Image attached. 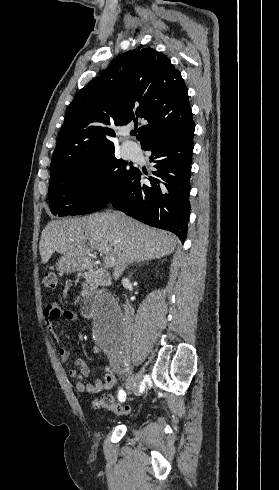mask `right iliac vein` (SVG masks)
I'll list each match as a JSON object with an SVG mask.
<instances>
[{
  "mask_svg": "<svg viewBox=\"0 0 279 490\" xmlns=\"http://www.w3.org/2000/svg\"><path fill=\"white\" fill-rule=\"evenodd\" d=\"M129 358H130L129 355H124L125 360H129ZM135 381H136V377L134 375L129 376L126 380V387L128 389L135 388Z\"/></svg>",
  "mask_w": 279,
  "mask_h": 490,
  "instance_id": "63e3f726",
  "label": "right iliac vein"
}]
</instances>
